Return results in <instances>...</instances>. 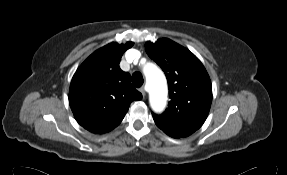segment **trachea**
I'll use <instances>...</instances> for the list:
<instances>
[{
	"mask_svg": "<svg viewBox=\"0 0 287 175\" xmlns=\"http://www.w3.org/2000/svg\"><path fill=\"white\" fill-rule=\"evenodd\" d=\"M132 84L135 86V87H141L143 85V76L141 73L139 72H135L133 75H132Z\"/></svg>",
	"mask_w": 287,
	"mask_h": 175,
	"instance_id": "trachea-1",
	"label": "trachea"
}]
</instances>
